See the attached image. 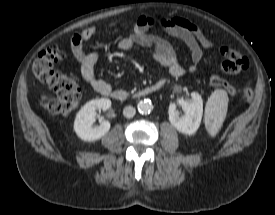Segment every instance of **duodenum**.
<instances>
[{
    "mask_svg": "<svg viewBox=\"0 0 275 215\" xmlns=\"http://www.w3.org/2000/svg\"><path fill=\"white\" fill-rule=\"evenodd\" d=\"M165 83H166V80L161 79L151 85H148V86L142 88L141 90H139L137 93L133 94L132 96H130L126 91L120 90V89L114 90L112 92L110 91L108 95L116 101H125V100L129 99L130 97L140 98V97H144V96H147V95H150V94L160 91L164 87Z\"/></svg>",
    "mask_w": 275,
    "mask_h": 215,
    "instance_id": "1",
    "label": "duodenum"
}]
</instances>
